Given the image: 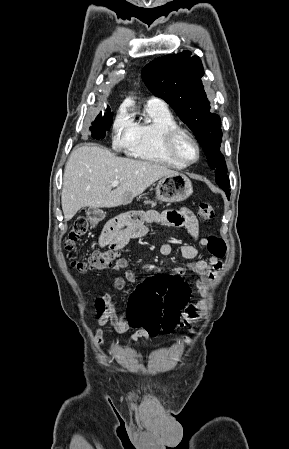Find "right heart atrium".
<instances>
[{"label":"right heart atrium","mask_w":289,"mask_h":449,"mask_svg":"<svg viewBox=\"0 0 289 449\" xmlns=\"http://www.w3.org/2000/svg\"><path fill=\"white\" fill-rule=\"evenodd\" d=\"M113 143L118 148L129 149L135 139V122L125 105L119 107L112 124Z\"/></svg>","instance_id":"d8ad5b80"}]
</instances>
